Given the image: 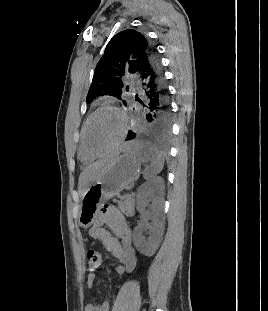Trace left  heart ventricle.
Listing matches in <instances>:
<instances>
[{"mask_svg": "<svg viewBox=\"0 0 268 311\" xmlns=\"http://www.w3.org/2000/svg\"><path fill=\"white\" fill-rule=\"evenodd\" d=\"M121 120L111 110L96 114L87 128V144L95 153L107 151L118 139L121 133Z\"/></svg>", "mask_w": 268, "mask_h": 311, "instance_id": "left-heart-ventricle-1", "label": "left heart ventricle"}]
</instances>
